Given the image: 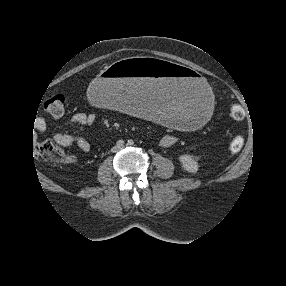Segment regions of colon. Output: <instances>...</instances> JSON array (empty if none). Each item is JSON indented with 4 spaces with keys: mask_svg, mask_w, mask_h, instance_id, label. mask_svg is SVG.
I'll return each mask as SVG.
<instances>
[{
    "mask_svg": "<svg viewBox=\"0 0 286 286\" xmlns=\"http://www.w3.org/2000/svg\"><path fill=\"white\" fill-rule=\"evenodd\" d=\"M65 98L61 94L52 96L46 100L44 106L45 109L53 116H60L64 111ZM230 117L233 120L241 121L245 117L244 109L238 105L233 104L230 107ZM244 145V139L241 136H235L229 142V150L232 153H238L241 151ZM37 154L43 159L51 162H60L65 156L62 149L51 140H43L37 144Z\"/></svg>",
    "mask_w": 286,
    "mask_h": 286,
    "instance_id": "obj_1",
    "label": "colon"
}]
</instances>
